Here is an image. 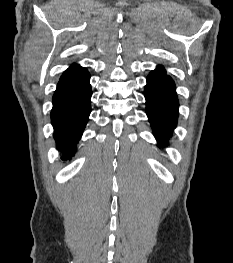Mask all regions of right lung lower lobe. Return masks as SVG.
Listing matches in <instances>:
<instances>
[{
    "label": "right lung lower lobe",
    "mask_w": 233,
    "mask_h": 263,
    "mask_svg": "<svg viewBox=\"0 0 233 263\" xmlns=\"http://www.w3.org/2000/svg\"><path fill=\"white\" fill-rule=\"evenodd\" d=\"M87 69L70 67L57 84L51 111L56 147L62 152V160L71 158L88 122L91 111V85Z\"/></svg>",
    "instance_id": "obj_1"
}]
</instances>
